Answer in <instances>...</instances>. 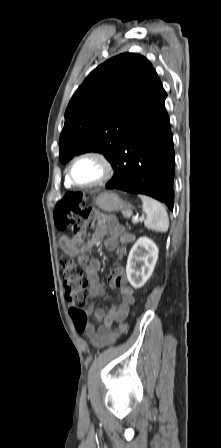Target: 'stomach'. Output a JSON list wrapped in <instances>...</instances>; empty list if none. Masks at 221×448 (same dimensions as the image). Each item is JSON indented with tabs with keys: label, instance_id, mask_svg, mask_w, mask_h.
I'll use <instances>...</instances> for the list:
<instances>
[{
	"label": "stomach",
	"instance_id": "obj_1",
	"mask_svg": "<svg viewBox=\"0 0 221 448\" xmlns=\"http://www.w3.org/2000/svg\"><path fill=\"white\" fill-rule=\"evenodd\" d=\"M95 204L106 212L122 211L131 214V205L124 202L116 193L103 192L95 198Z\"/></svg>",
	"mask_w": 221,
	"mask_h": 448
}]
</instances>
